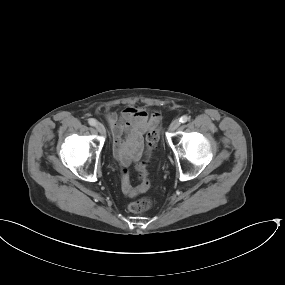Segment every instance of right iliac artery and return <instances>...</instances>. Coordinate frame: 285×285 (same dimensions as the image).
Wrapping results in <instances>:
<instances>
[{
    "label": "right iliac artery",
    "instance_id": "obj_1",
    "mask_svg": "<svg viewBox=\"0 0 285 285\" xmlns=\"http://www.w3.org/2000/svg\"><path fill=\"white\" fill-rule=\"evenodd\" d=\"M88 123H89L91 126H95V125L97 124V121H96L95 119H93V118H90V119L88 120Z\"/></svg>",
    "mask_w": 285,
    "mask_h": 285
}]
</instances>
